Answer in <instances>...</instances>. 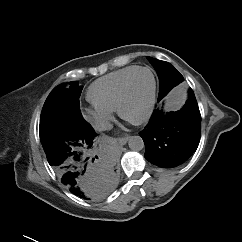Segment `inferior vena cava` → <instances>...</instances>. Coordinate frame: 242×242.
I'll return each mask as SVG.
<instances>
[{
    "instance_id": "obj_1",
    "label": "inferior vena cava",
    "mask_w": 242,
    "mask_h": 242,
    "mask_svg": "<svg viewBox=\"0 0 242 242\" xmlns=\"http://www.w3.org/2000/svg\"><path fill=\"white\" fill-rule=\"evenodd\" d=\"M113 128V125L109 121L101 120L95 123V129L98 131L110 130Z\"/></svg>"
}]
</instances>
